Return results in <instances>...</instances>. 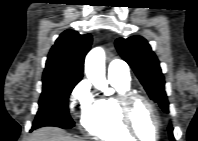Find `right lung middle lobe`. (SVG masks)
Instances as JSON below:
<instances>
[{"mask_svg":"<svg viewBox=\"0 0 198 141\" xmlns=\"http://www.w3.org/2000/svg\"><path fill=\"white\" fill-rule=\"evenodd\" d=\"M78 78H43L39 109L32 129L42 126L72 128L74 122L68 111V99Z\"/></svg>","mask_w":198,"mask_h":141,"instance_id":"obj_1","label":"right lung middle lobe"}]
</instances>
